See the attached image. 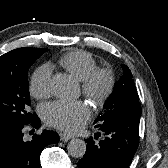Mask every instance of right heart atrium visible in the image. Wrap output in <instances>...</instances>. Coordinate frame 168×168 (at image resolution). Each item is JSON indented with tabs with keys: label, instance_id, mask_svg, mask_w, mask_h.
<instances>
[{
	"label": "right heart atrium",
	"instance_id": "obj_1",
	"mask_svg": "<svg viewBox=\"0 0 168 168\" xmlns=\"http://www.w3.org/2000/svg\"><path fill=\"white\" fill-rule=\"evenodd\" d=\"M30 94L37 99H43L51 94V69L44 65L35 70L29 83Z\"/></svg>",
	"mask_w": 168,
	"mask_h": 168
}]
</instances>
